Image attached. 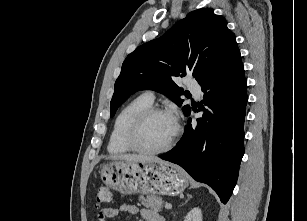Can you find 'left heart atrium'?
I'll return each instance as SVG.
<instances>
[{
  "label": "left heart atrium",
  "mask_w": 307,
  "mask_h": 221,
  "mask_svg": "<svg viewBox=\"0 0 307 221\" xmlns=\"http://www.w3.org/2000/svg\"><path fill=\"white\" fill-rule=\"evenodd\" d=\"M172 118H173V121L174 123L177 125L178 124V120H177V117L175 115H171Z\"/></svg>",
  "instance_id": "39dd6f15"
}]
</instances>
